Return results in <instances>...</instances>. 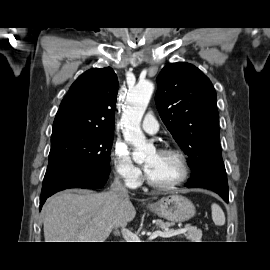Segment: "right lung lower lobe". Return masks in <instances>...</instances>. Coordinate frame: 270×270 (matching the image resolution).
<instances>
[{
    "label": "right lung lower lobe",
    "mask_w": 270,
    "mask_h": 270,
    "mask_svg": "<svg viewBox=\"0 0 270 270\" xmlns=\"http://www.w3.org/2000/svg\"><path fill=\"white\" fill-rule=\"evenodd\" d=\"M109 172L88 171L79 163H71L55 171L46 173L40 196V210L46 199L67 188H101L107 181Z\"/></svg>",
    "instance_id": "1"
}]
</instances>
